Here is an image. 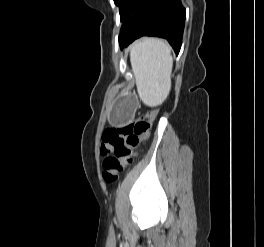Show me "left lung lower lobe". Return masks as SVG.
<instances>
[{
    "mask_svg": "<svg viewBox=\"0 0 264 247\" xmlns=\"http://www.w3.org/2000/svg\"><path fill=\"white\" fill-rule=\"evenodd\" d=\"M186 10L180 0H145L119 36L121 49L142 36L168 40L176 54L181 48Z\"/></svg>",
    "mask_w": 264,
    "mask_h": 247,
    "instance_id": "left-lung-lower-lobe-1",
    "label": "left lung lower lobe"
}]
</instances>
